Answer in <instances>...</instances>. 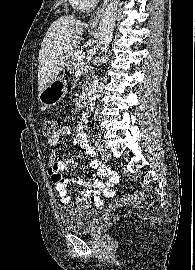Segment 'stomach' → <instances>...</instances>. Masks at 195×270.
Masks as SVG:
<instances>
[{
    "mask_svg": "<svg viewBox=\"0 0 195 270\" xmlns=\"http://www.w3.org/2000/svg\"><path fill=\"white\" fill-rule=\"evenodd\" d=\"M67 92V81L64 77H58L43 91L39 92V102L48 107L57 104Z\"/></svg>",
    "mask_w": 195,
    "mask_h": 270,
    "instance_id": "obj_1",
    "label": "stomach"
}]
</instances>
